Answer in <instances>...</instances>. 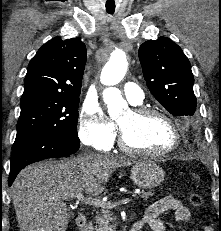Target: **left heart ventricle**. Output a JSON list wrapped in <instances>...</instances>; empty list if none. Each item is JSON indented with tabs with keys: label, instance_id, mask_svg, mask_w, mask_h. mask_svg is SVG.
<instances>
[{
	"label": "left heart ventricle",
	"instance_id": "1",
	"mask_svg": "<svg viewBox=\"0 0 221 231\" xmlns=\"http://www.w3.org/2000/svg\"><path fill=\"white\" fill-rule=\"evenodd\" d=\"M117 122L125 130L129 141L139 148L161 152L174 144L175 135L172 126L159 116L137 120L131 111H128Z\"/></svg>",
	"mask_w": 221,
	"mask_h": 231
}]
</instances>
